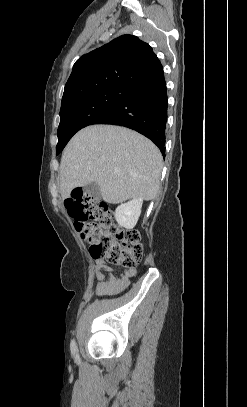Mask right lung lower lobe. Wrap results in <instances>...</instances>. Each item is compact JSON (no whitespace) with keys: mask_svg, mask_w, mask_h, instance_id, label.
<instances>
[{"mask_svg":"<svg viewBox=\"0 0 247 407\" xmlns=\"http://www.w3.org/2000/svg\"><path fill=\"white\" fill-rule=\"evenodd\" d=\"M167 88L162 71L142 84L93 124H114L133 129L156 144L165 157Z\"/></svg>","mask_w":247,"mask_h":407,"instance_id":"98d812e1","label":"right lung lower lobe"}]
</instances>
